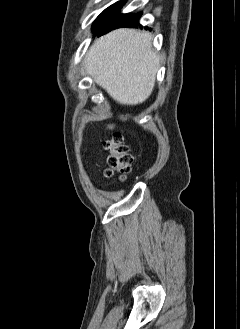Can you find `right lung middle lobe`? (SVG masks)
<instances>
[{
    "instance_id": "obj_1",
    "label": "right lung middle lobe",
    "mask_w": 240,
    "mask_h": 329,
    "mask_svg": "<svg viewBox=\"0 0 240 329\" xmlns=\"http://www.w3.org/2000/svg\"><path fill=\"white\" fill-rule=\"evenodd\" d=\"M118 5V3L108 7L106 10H104L95 20V22L93 23V27L92 30L93 32H96L97 29L100 27V25L102 24V22L105 20V18L108 16V14Z\"/></svg>"
}]
</instances>
